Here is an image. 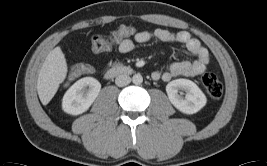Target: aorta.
<instances>
[{"instance_id":"obj_1","label":"aorta","mask_w":267,"mask_h":166,"mask_svg":"<svg viewBox=\"0 0 267 166\" xmlns=\"http://www.w3.org/2000/svg\"><path fill=\"white\" fill-rule=\"evenodd\" d=\"M132 82L135 84V85H140L142 82H143V77L141 74H135L133 75L132 77Z\"/></svg>"}]
</instances>
